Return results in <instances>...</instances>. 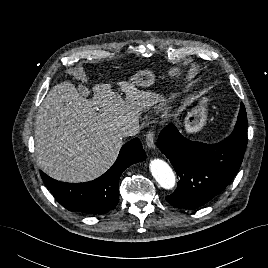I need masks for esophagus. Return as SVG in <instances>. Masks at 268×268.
<instances>
[{
    "instance_id": "34e87169",
    "label": "esophagus",
    "mask_w": 268,
    "mask_h": 268,
    "mask_svg": "<svg viewBox=\"0 0 268 268\" xmlns=\"http://www.w3.org/2000/svg\"><path fill=\"white\" fill-rule=\"evenodd\" d=\"M145 143L146 147L148 149L154 148V132L153 131H148L145 137Z\"/></svg>"
}]
</instances>
